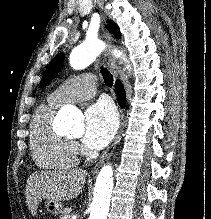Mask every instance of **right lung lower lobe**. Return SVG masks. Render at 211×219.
Here are the masks:
<instances>
[{
	"instance_id": "obj_1",
	"label": "right lung lower lobe",
	"mask_w": 211,
	"mask_h": 219,
	"mask_svg": "<svg viewBox=\"0 0 211 219\" xmlns=\"http://www.w3.org/2000/svg\"><path fill=\"white\" fill-rule=\"evenodd\" d=\"M115 88H116L117 99L120 103V106L124 107L126 103V95H125L124 88L119 81L116 82Z\"/></svg>"
}]
</instances>
